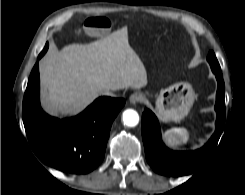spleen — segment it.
Masks as SVG:
<instances>
[{"label":"spleen","mask_w":245,"mask_h":195,"mask_svg":"<svg viewBox=\"0 0 245 195\" xmlns=\"http://www.w3.org/2000/svg\"><path fill=\"white\" fill-rule=\"evenodd\" d=\"M189 137V132L185 128H171L164 132L166 141L175 148L186 144Z\"/></svg>","instance_id":"obj_1"}]
</instances>
